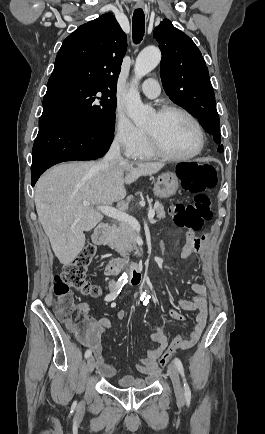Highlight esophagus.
Here are the masks:
<instances>
[{
  "label": "esophagus",
  "mask_w": 265,
  "mask_h": 434,
  "mask_svg": "<svg viewBox=\"0 0 265 434\" xmlns=\"http://www.w3.org/2000/svg\"><path fill=\"white\" fill-rule=\"evenodd\" d=\"M143 6H144L143 3H139V2H137L136 5H135V8H136V9H137V8H143Z\"/></svg>",
  "instance_id": "esophagus-1"
}]
</instances>
